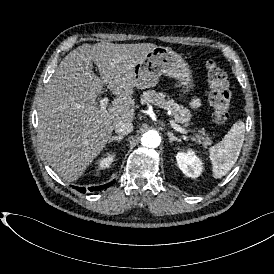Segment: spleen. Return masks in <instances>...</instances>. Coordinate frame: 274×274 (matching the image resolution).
<instances>
[{
	"instance_id": "1",
	"label": "spleen",
	"mask_w": 274,
	"mask_h": 274,
	"mask_svg": "<svg viewBox=\"0 0 274 274\" xmlns=\"http://www.w3.org/2000/svg\"><path fill=\"white\" fill-rule=\"evenodd\" d=\"M245 124L242 120L235 122L223 140L207 150L212 165V176L222 178L237 161L244 141Z\"/></svg>"
}]
</instances>
